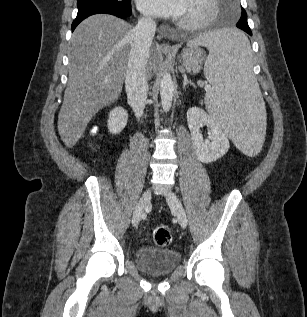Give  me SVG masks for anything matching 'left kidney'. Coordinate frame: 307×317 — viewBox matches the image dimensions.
Listing matches in <instances>:
<instances>
[{"instance_id":"1","label":"left kidney","mask_w":307,"mask_h":317,"mask_svg":"<svg viewBox=\"0 0 307 317\" xmlns=\"http://www.w3.org/2000/svg\"><path fill=\"white\" fill-rule=\"evenodd\" d=\"M187 122L195 154L201 162L210 163L226 154L229 149L226 134L203 109L199 107L188 109ZM203 125H207L211 130L206 140L200 133V127Z\"/></svg>"}]
</instances>
